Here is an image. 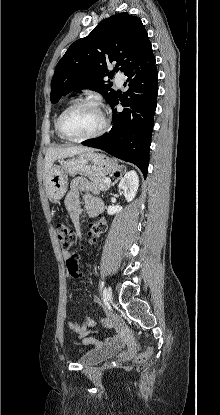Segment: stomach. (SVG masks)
<instances>
[{
  "instance_id": "stomach-1",
  "label": "stomach",
  "mask_w": 220,
  "mask_h": 415,
  "mask_svg": "<svg viewBox=\"0 0 220 415\" xmlns=\"http://www.w3.org/2000/svg\"><path fill=\"white\" fill-rule=\"evenodd\" d=\"M120 167L104 154L88 151L76 158L62 161L61 167H52L45 177V187L50 199H61L68 188V175L77 173L92 177H101L119 172Z\"/></svg>"
}]
</instances>
